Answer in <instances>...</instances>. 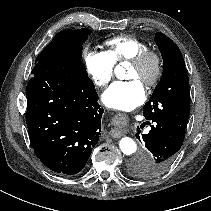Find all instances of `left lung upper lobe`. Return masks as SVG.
<instances>
[{"mask_svg":"<svg viewBox=\"0 0 211 211\" xmlns=\"http://www.w3.org/2000/svg\"><path fill=\"white\" fill-rule=\"evenodd\" d=\"M155 39L163 58V72L151 98L144 106L143 115L146 120L166 119L186 129L190 92L182 53L163 33L156 32ZM130 170L136 175L133 169Z\"/></svg>","mask_w":211,"mask_h":211,"instance_id":"5c2ea615","label":"left lung upper lobe"}]
</instances>
